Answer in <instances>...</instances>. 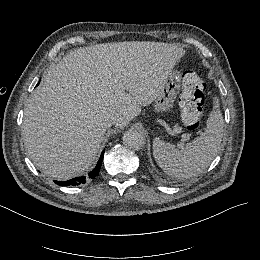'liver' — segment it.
I'll return each mask as SVG.
<instances>
[{
    "instance_id": "6515ba94",
    "label": "liver",
    "mask_w": 260,
    "mask_h": 260,
    "mask_svg": "<svg viewBox=\"0 0 260 260\" xmlns=\"http://www.w3.org/2000/svg\"><path fill=\"white\" fill-rule=\"evenodd\" d=\"M182 48L158 42L99 44L70 52L31 94L23 141L32 162L58 180L93 162L107 119L122 128L161 93Z\"/></svg>"
}]
</instances>
